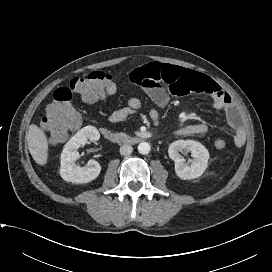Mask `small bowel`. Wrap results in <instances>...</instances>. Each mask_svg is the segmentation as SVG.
Listing matches in <instances>:
<instances>
[{
	"label": "small bowel",
	"instance_id": "1",
	"mask_svg": "<svg viewBox=\"0 0 272 272\" xmlns=\"http://www.w3.org/2000/svg\"><path fill=\"white\" fill-rule=\"evenodd\" d=\"M130 81L144 90L161 108L165 107L170 96H184L197 93L208 97L214 108L222 110L228 125L234 131V146L241 148L246 141V131L242 125L240 114L231 96L209 77L171 64L149 62L133 69L129 75ZM135 111L128 107L115 110L109 117L110 122L124 121ZM151 120L159 121V112L151 109ZM208 131L203 122L188 124L174 131L176 136L203 135Z\"/></svg>",
	"mask_w": 272,
	"mask_h": 272
}]
</instances>
